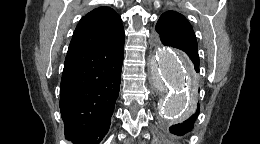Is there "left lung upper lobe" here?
Wrapping results in <instances>:
<instances>
[{"label":"left lung upper lobe","mask_w":260,"mask_h":144,"mask_svg":"<svg viewBox=\"0 0 260 144\" xmlns=\"http://www.w3.org/2000/svg\"><path fill=\"white\" fill-rule=\"evenodd\" d=\"M156 32L163 43L166 39H180L196 42V36L189 21L180 13L167 11L160 16ZM199 72V62L198 70Z\"/></svg>","instance_id":"left-lung-upper-lobe-1"}]
</instances>
